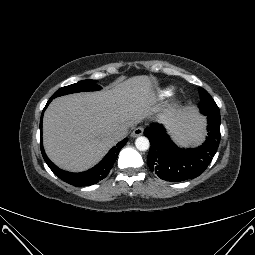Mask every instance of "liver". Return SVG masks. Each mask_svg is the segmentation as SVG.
<instances>
[{"label":"liver","mask_w":255,"mask_h":255,"mask_svg":"<svg viewBox=\"0 0 255 255\" xmlns=\"http://www.w3.org/2000/svg\"><path fill=\"white\" fill-rule=\"evenodd\" d=\"M152 115L180 138L201 121L192 107L162 109L153 97L150 78L134 76L110 89L53 100L43 119L46 154L64 170H87L117 143L115 130H127Z\"/></svg>","instance_id":"6515ba94"}]
</instances>
